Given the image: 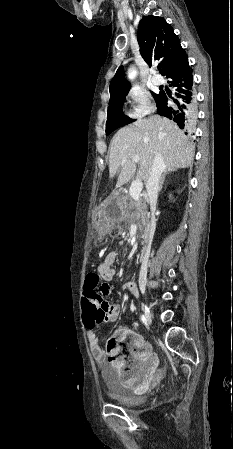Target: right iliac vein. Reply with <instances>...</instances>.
Instances as JSON below:
<instances>
[{
  "label": "right iliac vein",
  "mask_w": 233,
  "mask_h": 449,
  "mask_svg": "<svg viewBox=\"0 0 233 449\" xmlns=\"http://www.w3.org/2000/svg\"><path fill=\"white\" fill-rule=\"evenodd\" d=\"M144 314H145V318H146L147 322L150 324L152 322V315L146 306L144 308Z\"/></svg>",
  "instance_id": "63e3f726"
}]
</instances>
